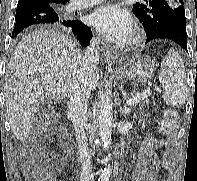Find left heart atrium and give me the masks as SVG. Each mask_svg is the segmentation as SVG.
Segmentation results:
<instances>
[{"label": "left heart atrium", "instance_id": "1", "mask_svg": "<svg viewBox=\"0 0 197 181\" xmlns=\"http://www.w3.org/2000/svg\"><path fill=\"white\" fill-rule=\"evenodd\" d=\"M90 21L103 35L112 40L124 41L132 30L130 15L115 4L95 10Z\"/></svg>", "mask_w": 197, "mask_h": 181}]
</instances>
